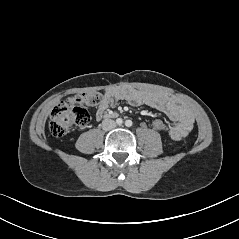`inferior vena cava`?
Returning a JSON list of instances; mask_svg holds the SVG:
<instances>
[{"mask_svg":"<svg viewBox=\"0 0 239 239\" xmlns=\"http://www.w3.org/2000/svg\"><path fill=\"white\" fill-rule=\"evenodd\" d=\"M116 127V123L114 120L112 119H104L102 121V128L103 130L105 131H109V130H112Z\"/></svg>","mask_w":239,"mask_h":239,"instance_id":"1","label":"inferior vena cava"}]
</instances>
